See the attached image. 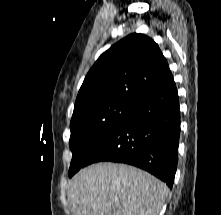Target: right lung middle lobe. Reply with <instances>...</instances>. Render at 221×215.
Returning <instances> with one entry per match:
<instances>
[{
    "instance_id": "1",
    "label": "right lung middle lobe",
    "mask_w": 221,
    "mask_h": 215,
    "mask_svg": "<svg viewBox=\"0 0 221 215\" xmlns=\"http://www.w3.org/2000/svg\"><path fill=\"white\" fill-rule=\"evenodd\" d=\"M134 103L107 100L74 107L69 141L72 161L69 177L87 164L92 152L130 111Z\"/></svg>"
}]
</instances>
